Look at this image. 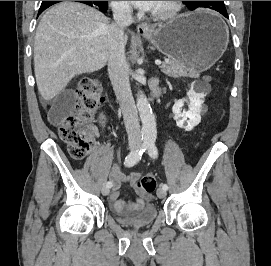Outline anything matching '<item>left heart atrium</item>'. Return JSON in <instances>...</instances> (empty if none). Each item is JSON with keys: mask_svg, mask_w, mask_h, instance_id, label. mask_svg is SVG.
<instances>
[{"mask_svg": "<svg viewBox=\"0 0 271 266\" xmlns=\"http://www.w3.org/2000/svg\"><path fill=\"white\" fill-rule=\"evenodd\" d=\"M136 8L144 11L153 10L159 1H130Z\"/></svg>", "mask_w": 271, "mask_h": 266, "instance_id": "left-heart-atrium-1", "label": "left heart atrium"}]
</instances>
